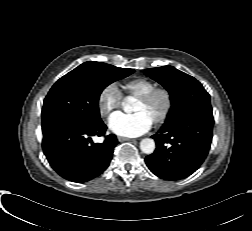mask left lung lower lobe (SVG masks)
I'll list each match as a JSON object with an SVG mask.
<instances>
[{"label": "left lung lower lobe", "mask_w": 252, "mask_h": 231, "mask_svg": "<svg viewBox=\"0 0 252 231\" xmlns=\"http://www.w3.org/2000/svg\"><path fill=\"white\" fill-rule=\"evenodd\" d=\"M213 123L212 109H194L163 125L152 136L156 150L145 158L148 168L166 180L191 175L208 154Z\"/></svg>", "instance_id": "0a47b994"}]
</instances>
